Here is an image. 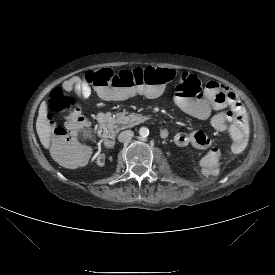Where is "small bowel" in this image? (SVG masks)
<instances>
[{"label":"small bowel","instance_id":"obj_1","mask_svg":"<svg viewBox=\"0 0 275 275\" xmlns=\"http://www.w3.org/2000/svg\"><path fill=\"white\" fill-rule=\"evenodd\" d=\"M77 83L87 84L78 78H71L63 83V87L72 90ZM175 101L191 116L201 120L208 119L215 130L227 132L231 138L230 150L234 154H239L245 149L249 137L248 117L237 95L229 88L211 81L200 94L188 89H177ZM70 124L78 129L81 127V123L76 120ZM162 131H166L168 136V129L164 128ZM176 140L180 144H192L194 150L199 153L205 152L200 156L198 165L206 176L215 178L220 175L223 154L216 147L210 148L211 141L205 133H179Z\"/></svg>","mask_w":275,"mask_h":275}]
</instances>
